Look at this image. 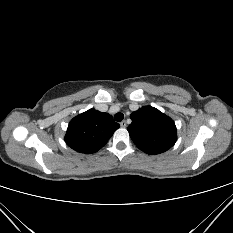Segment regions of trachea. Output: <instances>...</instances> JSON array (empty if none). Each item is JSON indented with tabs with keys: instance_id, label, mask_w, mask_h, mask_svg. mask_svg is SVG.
<instances>
[{
	"instance_id": "3493384b",
	"label": "trachea",
	"mask_w": 233,
	"mask_h": 233,
	"mask_svg": "<svg viewBox=\"0 0 233 233\" xmlns=\"http://www.w3.org/2000/svg\"><path fill=\"white\" fill-rule=\"evenodd\" d=\"M114 119H115V121H117V122H120V121H122L123 119H124V114L123 113H116L115 115H114Z\"/></svg>"
}]
</instances>
